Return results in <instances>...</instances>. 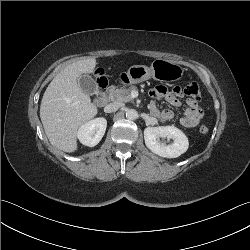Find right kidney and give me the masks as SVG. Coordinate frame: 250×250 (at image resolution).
<instances>
[{
  "label": "right kidney",
  "mask_w": 250,
  "mask_h": 250,
  "mask_svg": "<svg viewBox=\"0 0 250 250\" xmlns=\"http://www.w3.org/2000/svg\"><path fill=\"white\" fill-rule=\"evenodd\" d=\"M107 121L104 118L90 120L79 127L77 137L86 146H96L105 134Z\"/></svg>",
  "instance_id": "1"
}]
</instances>
